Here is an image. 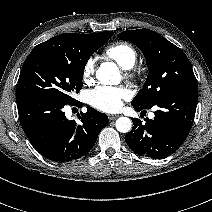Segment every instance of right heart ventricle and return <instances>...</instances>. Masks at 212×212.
<instances>
[{"mask_svg":"<svg viewBox=\"0 0 212 212\" xmlns=\"http://www.w3.org/2000/svg\"><path fill=\"white\" fill-rule=\"evenodd\" d=\"M103 56L107 59L113 60L123 69H131L137 60L136 50L127 43H115L108 46Z\"/></svg>","mask_w":212,"mask_h":212,"instance_id":"1","label":"right heart ventricle"}]
</instances>
